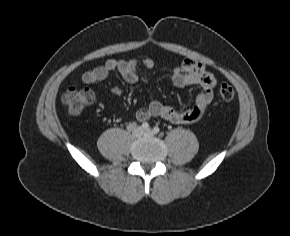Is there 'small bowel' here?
<instances>
[{
    "label": "small bowel",
    "mask_w": 290,
    "mask_h": 236,
    "mask_svg": "<svg viewBox=\"0 0 290 236\" xmlns=\"http://www.w3.org/2000/svg\"><path fill=\"white\" fill-rule=\"evenodd\" d=\"M141 65L150 70L154 67V61L151 58H146L141 62ZM138 67L139 62L135 58L109 59L104 64L86 71L82 75V81L85 84L100 82L112 72H119L123 79L131 84L146 81L147 77L140 74ZM170 78L176 87L189 85L201 87L194 105L186 109H178L160 101H153L148 107L136 111L135 116L138 121L142 122L152 117H160L175 124H192L202 118L213 99L215 79L212 73L202 63L187 58L170 70ZM111 93L114 97H119L122 94V89L118 85H114L111 87Z\"/></svg>",
    "instance_id": "small-bowel-1"
}]
</instances>
